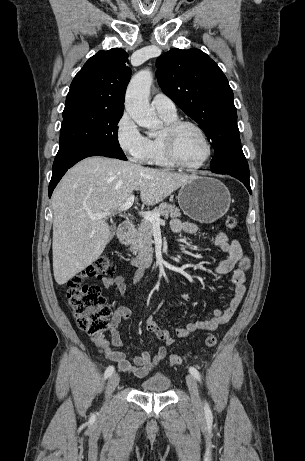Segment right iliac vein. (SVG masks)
Segmentation results:
<instances>
[{
    "mask_svg": "<svg viewBox=\"0 0 305 461\" xmlns=\"http://www.w3.org/2000/svg\"><path fill=\"white\" fill-rule=\"evenodd\" d=\"M120 378L117 373H114L110 376L108 382H107V388H106V393H107V398L112 394V392L115 390L117 385L119 384Z\"/></svg>",
    "mask_w": 305,
    "mask_h": 461,
    "instance_id": "right-iliac-vein-1",
    "label": "right iliac vein"
}]
</instances>
